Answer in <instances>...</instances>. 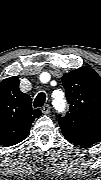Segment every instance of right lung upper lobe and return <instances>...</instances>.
I'll return each mask as SVG.
<instances>
[{
	"label": "right lung upper lobe",
	"mask_w": 101,
	"mask_h": 180,
	"mask_svg": "<svg viewBox=\"0 0 101 180\" xmlns=\"http://www.w3.org/2000/svg\"><path fill=\"white\" fill-rule=\"evenodd\" d=\"M18 77H9L0 82V144L13 146L23 141L35 118L41 115L32 108L28 94L19 89Z\"/></svg>",
	"instance_id": "1"
}]
</instances>
